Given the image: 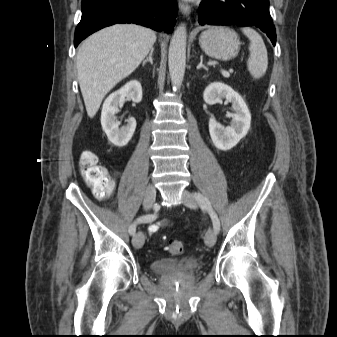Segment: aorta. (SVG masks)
<instances>
[{
  "instance_id": "1",
  "label": "aorta",
  "mask_w": 337,
  "mask_h": 337,
  "mask_svg": "<svg viewBox=\"0 0 337 337\" xmlns=\"http://www.w3.org/2000/svg\"><path fill=\"white\" fill-rule=\"evenodd\" d=\"M186 38L185 24H181L174 31L168 53L169 73L174 90L180 89L186 66Z\"/></svg>"
}]
</instances>
